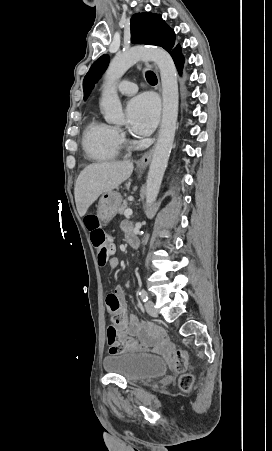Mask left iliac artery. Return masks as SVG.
Listing matches in <instances>:
<instances>
[{
  "label": "left iliac artery",
  "instance_id": "44dca946",
  "mask_svg": "<svg viewBox=\"0 0 272 451\" xmlns=\"http://www.w3.org/2000/svg\"><path fill=\"white\" fill-rule=\"evenodd\" d=\"M139 295H140L141 300H142L143 302H146V301L148 300V294H147L146 290L141 289V290L139 291Z\"/></svg>",
  "mask_w": 272,
  "mask_h": 451
}]
</instances>
